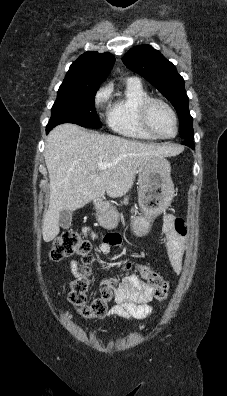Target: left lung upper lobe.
Here are the masks:
<instances>
[{
  "instance_id": "5c2ea615",
  "label": "left lung upper lobe",
  "mask_w": 227,
  "mask_h": 396,
  "mask_svg": "<svg viewBox=\"0 0 227 396\" xmlns=\"http://www.w3.org/2000/svg\"><path fill=\"white\" fill-rule=\"evenodd\" d=\"M122 60L128 69L147 79L172 103L178 113L181 138L194 136L184 79L177 73L175 66L149 45L132 48Z\"/></svg>"
}]
</instances>
